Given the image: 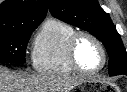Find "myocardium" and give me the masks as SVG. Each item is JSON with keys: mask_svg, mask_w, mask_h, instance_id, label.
Masks as SVG:
<instances>
[{"mask_svg": "<svg viewBox=\"0 0 127 92\" xmlns=\"http://www.w3.org/2000/svg\"><path fill=\"white\" fill-rule=\"evenodd\" d=\"M83 37H87V38L91 39L98 46V48L101 51L102 64L99 68H97L95 70L83 69L77 61L76 47H77L78 41ZM67 59H68L70 66L76 72L81 73V74H96L105 68L106 63H107V52H106V49H105L103 43L94 34L88 32V31H76L70 37L68 44H67Z\"/></svg>", "mask_w": 127, "mask_h": 92, "instance_id": "f54148a6", "label": "myocardium"}]
</instances>
